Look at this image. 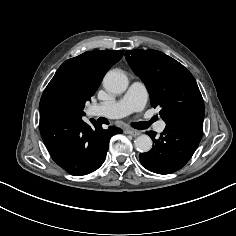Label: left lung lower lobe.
<instances>
[{"mask_svg": "<svg viewBox=\"0 0 236 236\" xmlns=\"http://www.w3.org/2000/svg\"><path fill=\"white\" fill-rule=\"evenodd\" d=\"M203 132V120L185 119L168 123L159 138L156 132L147 134L154 141L153 148L140 153L141 164L149 171L170 174L182 167L194 154Z\"/></svg>", "mask_w": 236, "mask_h": 236, "instance_id": "1", "label": "left lung lower lobe"}]
</instances>
